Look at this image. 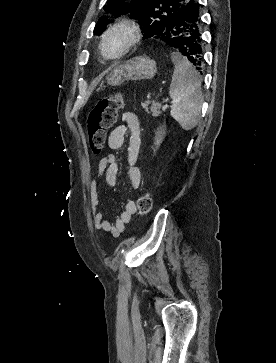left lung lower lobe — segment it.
Returning <instances> with one entry per match:
<instances>
[{"instance_id":"left-lung-lower-lobe-1","label":"left lung lower lobe","mask_w":276,"mask_h":363,"mask_svg":"<svg viewBox=\"0 0 276 363\" xmlns=\"http://www.w3.org/2000/svg\"><path fill=\"white\" fill-rule=\"evenodd\" d=\"M201 26L200 4L193 0L181 8L169 29L158 36L183 54L196 71H201L204 63Z\"/></svg>"}]
</instances>
